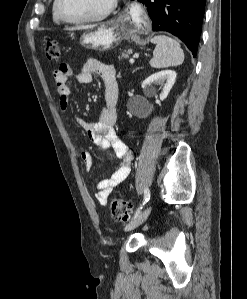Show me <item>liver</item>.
Instances as JSON below:
<instances>
[{
	"label": "liver",
	"mask_w": 247,
	"mask_h": 299,
	"mask_svg": "<svg viewBox=\"0 0 247 299\" xmlns=\"http://www.w3.org/2000/svg\"><path fill=\"white\" fill-rule=\"evenodd\" d=\"M93 25H82V26H77V27H72V28H68L67 30L69 31H74V30H85V29H90L92 28Z\"/></svg>",
	"instance_id": "obj_1"
}]
</instances>
